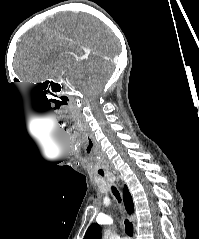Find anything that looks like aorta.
<instances>
[{"instance_id": "obj_1", "label": "aorta", "mask_w": 199, "mask_h": 239, "mask_svg": "<svg viewBox=\"0 0 199 239\" xmlns=\"http://www.w3.org/2000/svg\"><path fill=\"white\" fill-rule=\"evenodd\" d=\"M108 236H109V231H106L103 239H108Z\"/></svg>"}]
</instances>
